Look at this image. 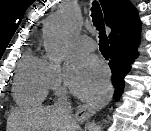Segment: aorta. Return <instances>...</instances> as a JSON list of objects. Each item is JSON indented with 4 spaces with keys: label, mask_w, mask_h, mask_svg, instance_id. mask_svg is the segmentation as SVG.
<instances>
[{
    "label": "aorta",
    "mask_w": 151,
    "mask_h": 131,
    "mask_svg": "<svg viewBox=\"0 0 151 131\" xmlns=\"http://www.w3.org/2000/svg\"><path fill=\"white\" fill-rule=\"evenodd\" d=\"M77 25V14L72 7L46 21L44 38L51 59L62 57L68 36L77 28Z\"/></svg>",
    "instance_id": "762f6f07"
}]
</instances>
